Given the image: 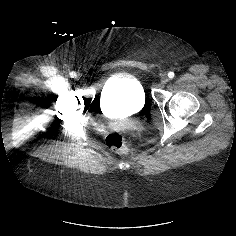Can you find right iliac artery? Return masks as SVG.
I'll return each mask as SVG.
<instances>
[{
	"instance_id": "obj_1",
	"label": "right iliac artery",
	"mask_w": 236,
	"mask_h": 236,
	"mask_svg": "<svg viewBox=\"0 0 236 236\" xmlns=\"http://www.w3.org/2000/svg\"><path fill=\"white\" fill-rule=\"evenodd\" d=\"M76 76H77L76 72L72 71V72L70 73V77L75 78Z\"/></svg>"
}]
</instances>
